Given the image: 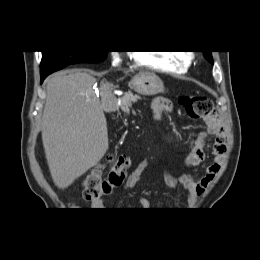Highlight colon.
<instances>
[{
  "label": "colon",
  "mask_w": 260,
  "mask_h": 260,
  "mask_svg": "<svg viewBox=\"0 0 260 260\" xmlns=\"http://www.w3.org/2000/svg\"><path fill=\"white\" fill-rule=\"evenodd\" d=\"M179 103L186 113L194 119H205L216 115L211 100L204 96H182ZM128 160L118 156L111 161L107 174L102 166L91 170L83 180L82 196L87 201L99 200L114 187L122 184Z\"/></svg>",
  "instance_id": "5ec220e1"
}]
</instances>
